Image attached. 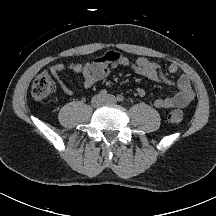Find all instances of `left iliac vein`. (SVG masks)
<instances>
[{"label":"left iliac vein","mask_w":216,"mask_h":216,"mask_svg":"<svg viewBox=\"0 0 216 216\" xmlns=\"http://www.w3.org/2000/svg\"><path fill=\"white\" fill-rule=\"evenodd\" d=\"M117 102V98L113 95H107L104 97V103L107 104H115Z\"/></svg>","instance_id":"left-iliac-vein-1"}]
</instances>
